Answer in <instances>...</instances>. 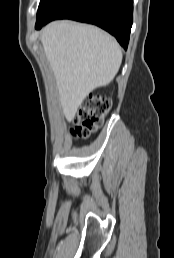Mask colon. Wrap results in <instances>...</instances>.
I'll return each mask as SVG.
<instances>
[{
	"instance_id": "obj_1",
	"label": "colon",
	"mask_w": 174,
	"mask_h": 258,
	"mask_svg": "<svg viewBox=\"0 0 174 258\" xmlns=\"http://www.w3.org/2000/svg\"><path fill=\"white\" fill-rule=\"evenodd\" d=\"M111 100L106 97L90 95L78 107L73 121L75 126L71 129L73 137L88 138L100 127L105 116L111 109Z\"/></svg>"
}]
</instances>
